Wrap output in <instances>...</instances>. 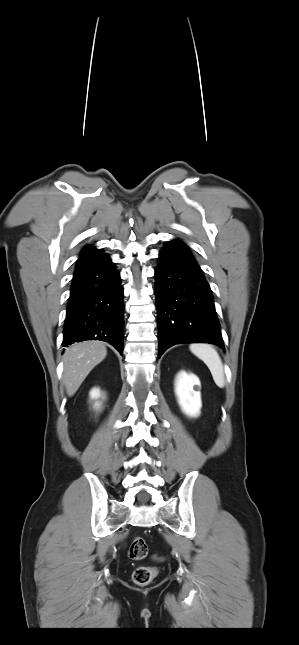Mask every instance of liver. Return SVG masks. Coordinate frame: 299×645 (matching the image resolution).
<instances>
[{"mask_svg":"<svg viewBox=\"0 0 299 645\" xmlns=\"http://www.w3.org/2000/svg\"><path fill=\"white\" fill-rule=\"evenodd\" d=\"M107 355L98 341H85L67 348L63 356V380L68 396H73L91 370Z\"/></svg>","mask_w":299,"mask_h":645,"instance_id":"obj_1","label":"liver"}]
</instances>
